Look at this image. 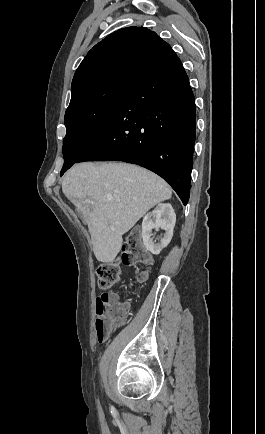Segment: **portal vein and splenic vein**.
I'll return each instance as SVG.
<instances>
[{
  "mask_svg": "<svg viewBox=\"0 0 265 434\" xmlns=\"http://www.w3.org/2000/svg\"><path fill=\"white\" fill-rule=\"evenodd\" d=\"M85 202H89V204H95V202H92V200H85Z\"/></svg>",
  "mask_w": 265,
  "mask_h": 434,
  "instance_id": "1",
  "label": "portal vein and splenic vein"
}]
</instances>
